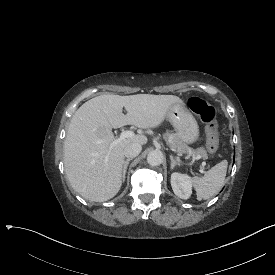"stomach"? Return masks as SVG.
I'll return each mask as SVG.
<instances>
[{"mask_svg":"<svg viewBox=\"0 0 275 275\" xmlns=\"http://www.w3.org/2000/svg\"><path fill=\"white\" fill-rule=\"evenodd\" d=\"M164 117L172 123L178 137L184 143H190L197 139L198 125L183 104L173 103L168 107Z\"/></svg>","mask_w":275,"mask_h":275,"instance_id":"1","label":"stomach"}]
</instances>
